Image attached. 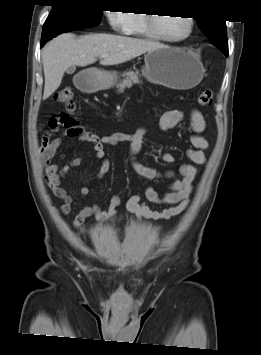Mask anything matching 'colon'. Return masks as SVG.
<instances>
[{
    "mask_svg": "<svg viewBox=\"0 0 261 355\" xmlns=\"http://www.w3.org/2000/svg\"><path fill=\"white\" fill-rule=\"evenodd\" d=\"M54 99L58 103L64 104L68 111H73L75 109L73 92L69 87H65L56 91L54 94ZM197 102L201 106H210L213 102V92L211 90H204L198 96ZM49 126L53 129L57 128L59 126L58 118L52 119L49 123Z\"/></svg>",
    "mask_w": 261,
    "mask_h": 355,
    "instance_id": "5ec220e1",
    "label": "colon"
}]
</instances>
